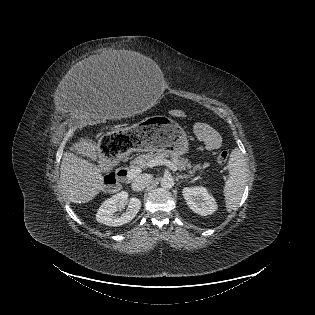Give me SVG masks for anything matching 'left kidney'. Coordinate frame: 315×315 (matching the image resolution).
Returning a JSON list of instances; mask_svg holds the SVG:
<instances>
[{
  "label": "left kidney",
  "mask_w": 315,
  "mask_h": 315,
  "mask_svg": "<svg viewBox=\"0 0 315 315\" xmlns=\"http://www.w3.org/2000/svg\"><path fill=\"white\" fill-rule=\"evenodd\" d=\"M182 193L188 207L196 214L212 215L217 210L215 199L205 187H185Z\"/></svg>",
  "instance_id": "1"
}]
</instances>
